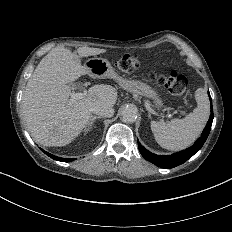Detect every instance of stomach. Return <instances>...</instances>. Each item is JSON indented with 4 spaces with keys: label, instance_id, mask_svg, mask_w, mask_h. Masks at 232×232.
Listing matches in <instances>:
<instances>
[{
    "label": "stomach",
    "instance_id": "obj_1",
    "mask_svg": "<svg viewBox=\"0 0 232 232\" xmlns=\"http://www.w3.org/2000/svg\"><path fill=\"white\" fill-rule=\"evenodd\" d=\"M91 68V75L95 78H109L117 82L120 88L129 93L150 99L157 112L164 109V102L160 94L150 85L135 79H129L119 75L108 59L103 57H94L86 63Z\"/></svg>",
    "mask_w": 232,
    "mask_h": 232
}]
</instances>
